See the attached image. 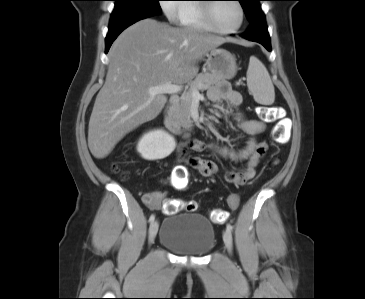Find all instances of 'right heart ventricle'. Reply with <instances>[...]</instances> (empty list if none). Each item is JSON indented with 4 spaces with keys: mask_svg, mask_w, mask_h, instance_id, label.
<instances>
[{
    "mask_svg": "<svg viewBox=\"0 0 365 299\" xmlns=\"http://www.w3.org/2000/svg\"><path fill=\"white\" fill-rule=\"evenodd\" d=\"M180 8L179 22L182 26L200 30H210L204 21L202 4H182Z\"/></svg>",
    "mask_w": 365,
    "mask_h": 299,
    "instance_id": "e07e8e85",
    "label": "right heart ventricle"
}]
</instances>
